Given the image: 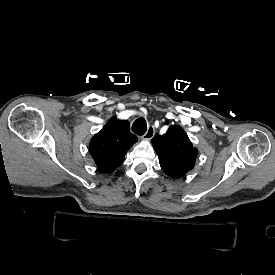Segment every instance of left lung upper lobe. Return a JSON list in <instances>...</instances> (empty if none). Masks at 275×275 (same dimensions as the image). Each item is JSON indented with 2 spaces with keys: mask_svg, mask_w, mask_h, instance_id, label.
Segmentation results:
<instances>
[{
  "mask_svg": "<svg viewBox=\"0 0 275 275\" xmlns=\"http://www.w3.org/2000/svg\"><path fill=\"white\" fill-rule=\"evenodd\" d=\"M152 145L158 154L160 166L167 175L180 178L194 168L197 149L192 146L188 135L180 126H170L163 135H155Z\"/></svg>",
  "mask_w": 275,
  "mask_h": 275,
  "instance_id": "5c2ea615",
  "label": "left lung upper lobe"
}]
</instances>
